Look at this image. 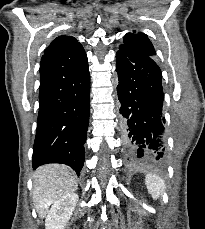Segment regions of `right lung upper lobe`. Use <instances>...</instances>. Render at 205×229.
Returning <instances> with one entry per match:
<instances>
[{"instance_id":"cb5924a9","label":"right lung upper lobe","mask_w":205,"mask_h":229,"mask_svg":"<svg viewBox=\"0 0 205 229\" xmlns=\"http://www.w3.org/2000/svg\"><path fill=\"white\" fill-rule=\"evenodd\" d=\"M49 47L55 48L57 58L67 68H78L87 62V56L82 45L72 36H59L52 41Z\"/></svg>"}]
</instances>
